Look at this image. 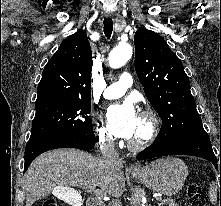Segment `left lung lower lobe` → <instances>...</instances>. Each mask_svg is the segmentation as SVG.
I'll use <instances>...</instances> for the list:
<instances>
[{
    "mask_svg": "<svg viewBox=\"0 0 221 206\" xmlns=\"http://www.w3.org/2000/svg\"><path fill=\"white\" fill-rule=\"evenodd\" d=\"M168 155H191L209 160L217 168V158L213 152L209 138L185 137L174 140L154 141L152 145L137 155V159L145 160ZM221 172V156H220Z\"/></svg>",
    "mask_w": 221,
    "mask_h": 206,
    "instance_id": "0a47b994",
    "label": "left lung lower lobe"
}]
</instances>
